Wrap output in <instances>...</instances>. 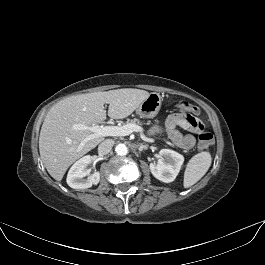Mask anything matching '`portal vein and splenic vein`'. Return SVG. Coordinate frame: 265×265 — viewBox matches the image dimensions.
Wrapping results in <instances>:
<instances>
[{
    "label": "portal vein and splenic vein",
    "instance_id": "portal-vein-and-splenic-vein-1",
    "mask_svg": "<svg viewBox=\"0 0 265 265\" xmlns=\"http://www.w3.org/2000/svg\"><path fill=\"white\" fill-rule=\"evenodd\" d=\"M74 130H87L92 134L86 138V141L93 139L94 137H106V136H127L132 132H143V128L137 124H126L123 126H99L91 125L87 126L81 123L73 124Z\"/></svg>",
    "mask_w": 265,
    "mask_h": 265
}]
</instances>
